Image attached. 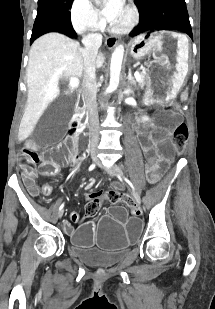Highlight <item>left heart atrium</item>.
I'll return each instance as SVG.
<instances>
[{"label":"left heart atrium","mask_w":215,"mask_h":309,"mask_svg":"<svg viewBox=\"0 0 215 309\" xmlns=\"http://www.w3.org/2000/svg\"><path fill=\"white\" fill-rule=\"evenodd\" d=\"M106 8L102 11V19L108 24V20H121L124 14V0H102Z\"/></svg>","instance_id":"left-heart-atrium-1"}]
</instances>
